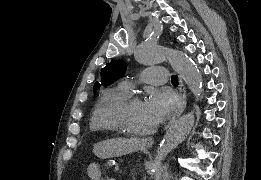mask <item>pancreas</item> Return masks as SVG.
I'll use <instances>...</instances> for the list:
<instances>
[{
	"mask_svg": "<svg viewBox=\"0 0 261 180\" xmlns=\"http://www.w3.org/2000/svg\"><path fill=\"white\" fill-rule=\"evenodd\" d=\"M103 169L104 170H111L112 169V163L110 159H105L104 162L102 163Z\"/></svg>",
	"mask_w": 261,
	"mask_h": 180,
	"instance_id": "1",
	"label": "pancreas"
}]
</instances>
